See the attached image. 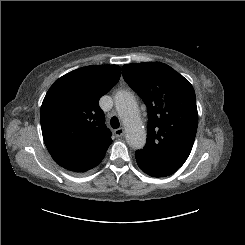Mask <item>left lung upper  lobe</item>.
<instances>
[{
    "mask_svg": "<svg viewBox=\"0 0 245 245\" xmlns=\"http://www.w3.org/2000/svg\"><path fill=\"white\" fill-rule=\"evenodd\" d=\"M122 71L148 110L147 142L136 154L179 169L191 152L198 126L192 85L160 62L126 64Z\"/></svg>",
    "mask_w": 245,
    "mask_h": 245,
    "instance_id": "5c2ea615",
    "label": "left lung upper lobe"
}]
</instances>
